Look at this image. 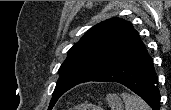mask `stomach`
Listing matches in <instances>:
<instances>
[{"mask_svg": "<svg viewBox=\"0 0 171 110\" xmlns=\"http://www.w3.org/2000/svg\"><path fill=\"white\" fill-rule=\"evenodd\" d=\"M106 100L111 110H123V103L116 94H108Z\"/></svg>", "mask_w": 171, "mask_h": 110, "instance_id": "1", "label": "stomach"}]
</instances>
